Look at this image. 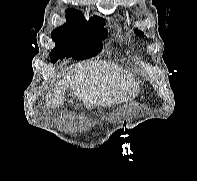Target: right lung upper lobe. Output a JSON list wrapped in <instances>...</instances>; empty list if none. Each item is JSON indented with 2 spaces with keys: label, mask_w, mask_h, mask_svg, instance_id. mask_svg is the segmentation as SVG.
I'll return each instance as SVG.
<instances>
[{
  "label": "right lung upper lobe",
  "mask_w": 197,
  "mask_h": 181,
  "mask_svg": "<svg viewBox=\"0 0 197 181\" xmlns=\"http://www.w3.org/2000/svg\"><path fill=\"white\" fill-rule=\"evenodd\" d=\"M66 12H67L66 14L67 20H78L84 18L83 13L78 10L68 9ZM93 17H97V16H93Z\"/></svg>",
  "instance_id": "1"
}]
</instances>
